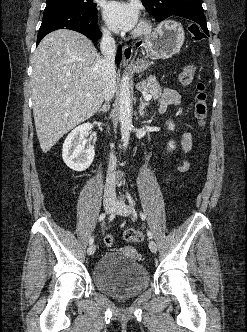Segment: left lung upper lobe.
<instances>
[{
  "label": "left lung upper lobe",
  "mask_w": 247,
  "mask_h": 332,
  "mask_svg": "<svg viewBox=\"0 0 247 332\" xmlns=\"http://www.w3.org/2000/svg\"><path fill=\"white\" fill-rule=\"evenodd\" d=\"M142 4L158 21L174 13L204 14L202 0H142Z\"/></svg>",
  "instance_id": "left-lung-upper-lobe-1"
}]
</instances>
